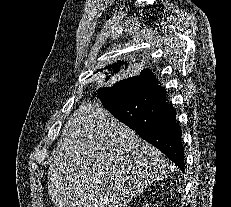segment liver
<instances>
[{"label":"liver","mask_w":231,"mask_h":207,"mask_svg":"<svg viewBox=\"0 0 231 207\" xmlns=\"http://www.w3.org/2000/svg\"><path fill=\"white\" fill-rule=\"evenodd\" d=\"M48 171L56 207H126L170 172L168 159L100 103L68 119Z\"/></svg>","instance_id":"1"}]
</instances>
